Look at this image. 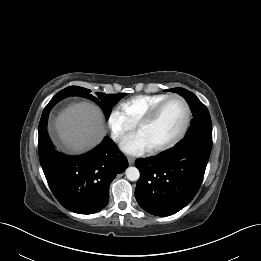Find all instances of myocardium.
<instances>
[{
	"instance_id": "myocardium-1",
	"label": "myocardium",
	"mask_w": 261,
	"mask_h": 261,
	"mask_svg": "<svg viewBox=\"0 0 261 261\" xmlns=\"http://www.w3.org/2000/svg\"><path fill=\"white\" fill-rule=\"evenodd\" d=\"M178 100L184 107L185 110V118L184 123L180 129V131L177 133V135L170 140L169 142L149 148V151L152 153H159L162 151H166L177 145L186 135L190 124H191V118H192V112L189 103L187 100L182 97L179 94H172L169 95L167 98L159 102L157 105H155L137 124H136V130L138 131L141 127L151 124L159 115V113L162 111V109L171 101Z\"/></svg>"
}]
</instances>
